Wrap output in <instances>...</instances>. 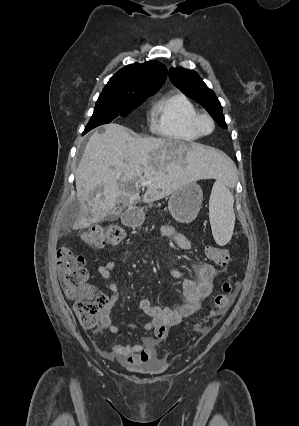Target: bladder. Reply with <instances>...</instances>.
Listing matches in <instances>:
<instances>
[{
    "instance_id": "bladder-1",
    "label": "bladder",
    "mask_w": 299,
    "mask_h": 426,
    "mask_svg": "<svg viewBox=\"0 0 299 426\" xmlns=\"http://www.w3.org/2000/svg\"><path fill=\"white\" fill-rule=\"evenodd\" d=\"M129 370L141 375H156L162 372L163 365L158 361L143 362L129 367Z\"/></svg>"
}]
</instances>
